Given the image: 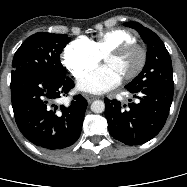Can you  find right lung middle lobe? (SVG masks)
Segmentation results:
<instances>
[{"label": "right lung middle lobe", "mask_w": 187, "mask_h": 187, "mask_svg": "<svg viewBox=\"0 0 187 187\" xmlns=\"http://www.w3.org/2000/svg\"><path fill=\"white\" fill-rule=\"evenodd\" d=\"M70 41L67 35L39 32L28 37L16 51L11 76L20 72L66 76L60 54Z\"/></svg>", "instance_id": "obj_1"}]
</instances>
